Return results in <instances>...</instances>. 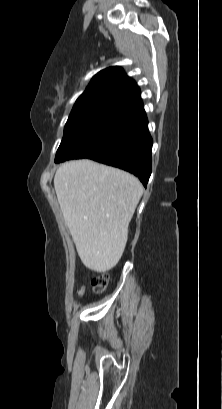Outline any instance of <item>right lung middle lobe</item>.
I'll use <instances>...</instances> for the list:
<instances>
[{
    "label": "right lung middle lobe",
    "instance_id": "obj_1",
    "mask_svg": "<svg viewBox=\"0 0 222 409\" xmlns=\"http://www.w3.org/2000/svg\"><path fill=\"white\" fill-rule=\"evenodd\" d=\"M124 111L126 109L122 106L72 109L55 162L85 158L91 154L102 144L112 125Z\"/></svg>",
    "mask_w": 222,
    "mask_h": 409
}]
</instances>
